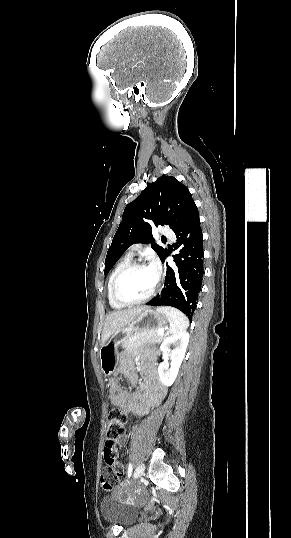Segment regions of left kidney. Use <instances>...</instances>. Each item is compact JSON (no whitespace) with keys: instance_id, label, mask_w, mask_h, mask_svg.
<instances>
[{"instance_id":"obj_1","label":"left kidney","mask_w":291,"mask_h":538,"mask_svg":"<svg viewBox=\"0 0 291 538\" xmlns=\"http://www.w3.org/2000/svg\"><path fill=\"white\" fill-rule=\"evenodd\" d=\"M188 342L189 333L186 331L166 337L163 340L160 350L163 352V357L169 355L171 360L170 368L167 362H161L158 367L160 380L165 386H171L174 383L184 359ZM172 347L174 348L172 349Z\"/></svg>"}]
</instances>
